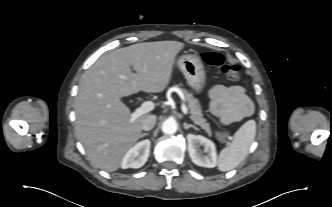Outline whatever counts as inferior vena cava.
I'll return each instance as SVG.
<instances>
[{"mask_svg":"<svg viewBox=\"0 0 332 207\" xmlns=\"http://www.w3.org/2000/svg\"><path fill=\"white\" fill-rule=\"evenodd\" d=\"M156 119L157 118L155 115L147 116L142 123V129L145 131H149V130L153 129V127L155 126V123H156Z\"/></svg>","mask_w":332,"mask_h":207,"instance_id":"1","label":"inferior vena cava"}]
</instances>
